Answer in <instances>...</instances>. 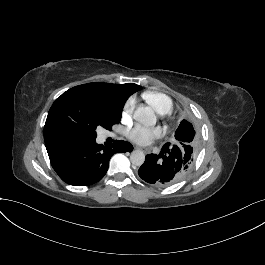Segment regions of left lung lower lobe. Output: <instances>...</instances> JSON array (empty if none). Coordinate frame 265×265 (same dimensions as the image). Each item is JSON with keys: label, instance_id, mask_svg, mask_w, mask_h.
Here are the masks:
<instances>
[{"label": "left lung lower lobe", "instance_id": "0a47b994", "mask_svg": "<svg viewBox=\"0 0 265 265\" xmlns=\"http://www.w3.org/2000/svg\"><path fill=\"white\" fill-rule=\"evenodd\" d=\"M183 158L177 149L164 145L159 155L146 156L138 175L147 183L168 186L184 177Z\"/></svg>", "mask_w": 265, "mask_h": 265}]
</instances>
